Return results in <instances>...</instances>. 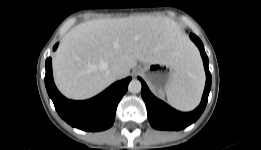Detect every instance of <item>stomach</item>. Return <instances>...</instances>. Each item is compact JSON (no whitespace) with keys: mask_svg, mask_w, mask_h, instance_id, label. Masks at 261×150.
Here are the masks:
<instances>
[{"mask_svg":"<svg viewBox=\"0 0 261 150\" xmlns=\"http://www.w3.org/2000/svg\"><path fill=\"white\" fill-rule=\"evenodd\" d=\"M141 74L146 78L154 92L163 95L167 87L177 75L172 67L163 64L144 63L139 67Z\"/></svg>","mask_w":261,"mask_h":150,"instance_id":"obj_1","label":"stomach"}]
</instances>
